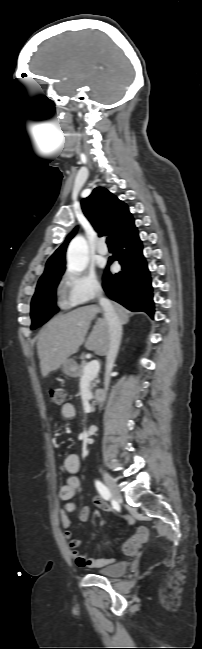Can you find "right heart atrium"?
<instances>
[{
  "mask_svg": "<svg viewBox=\"0 0 202 649\" xmlns=\"http://www.w3.org/2000/svg\"><path fill=\"white\" fill-rule=\"evenodd\" d=\"M102 291V285L92 271L67 270L60 279L59 304L71 308L95 300Z\"/></svg>",
  "mask_w": 202,
  "mask_h": 649,
  "instance_id": "obj_1",
  "label": "right heart atrium"
}]
</instances>
